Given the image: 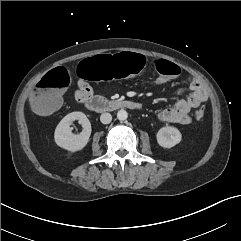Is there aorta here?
Masks as SVG:
<instances>
[{
  "mask_svg": "<svg viewBox=\"0 0 241 241\" xmlns=\"http://www.w3.org/2000/svg\"><path fill=\"white\" fill-rule=\"evenodd\" d=\"M127 117H128V113H127L126 110L121 109L117 112V119L118 120L124 121V120L127 119Z\"/></svg>",
  "mask_w": 241,
  "mask_h": 241,
  "instance_id": "aorta-1",
  "label": "aorta"
}]
</instances>
